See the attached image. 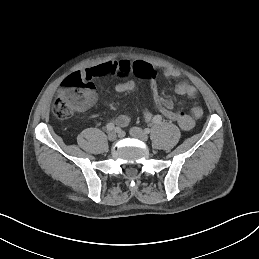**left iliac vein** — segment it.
<instances>
[{
    "instance_id": "left-iliac-vein-1",
    "label": "left iliac vein",
    "mask_w": 259,
    "mask_h": 259,
    "mask_svg": "<svg viewBox=\"0 0 259 259\" xmlns=\"http://www.w3.org/2000/svg\"><path fill=\"white\" fill-rule=\"evenodd\" d=\"M130 135L133 138H136L140 141L146 142L148 140V135L145 131L138 127H132L129 131Z\"/></svg>"
}]
</instances>
